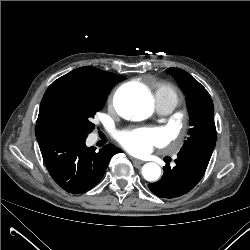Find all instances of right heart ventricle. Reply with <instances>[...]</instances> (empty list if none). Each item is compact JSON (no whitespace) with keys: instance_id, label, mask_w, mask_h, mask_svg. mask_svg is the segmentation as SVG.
<instances>
[{"instance_id":"right-heart-ventricle-1","label":"right heart ventricle","mask_w":250,"mask_h":250,"mask_svg":"<svg viewBox=\"0 0 250 250\" xmlns=\"http://www.w3.org/2000/svg\"><path fill=\"white\" fill-rule=\"evenodd\" d=\"M156 106L158 104H172L174 107L179 102L176 88L169 83H158L153 89Z\"/></svg>"}]
</instances>
